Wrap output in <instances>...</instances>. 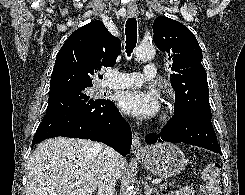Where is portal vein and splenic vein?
Listing matches in <instances>:
<instances>
[{
    "label": "portal vein and splenic vein",
    "instance_id": "1",
    "mask_svg": "<svg viewBox=\"0 0 245 195\" xmlns=\"http://www.w3.org/2000/svg\"><path fill=\"white\" fill-rule=\"evenodd\" d=\"M161 182H162L161 179L152 180V184H159Z\"/></svg>",
    "mask_w": 245,
    "mask_h": 195
}]
</instances>
